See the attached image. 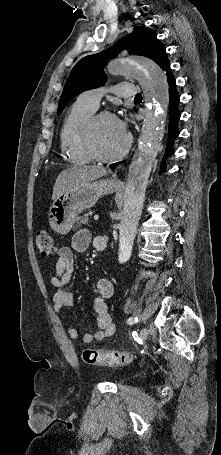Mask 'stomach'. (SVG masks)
Instances as JSON below:
<instances>
[{
	"label": "stomach",
	"instance_id": "obj_1",
	"mask_svg": "<svg viewBox=\"0 0 221 455\" xmlns=\"http://www.w3.org/2000/svg\"><path fill=\"white\" fill-rule=\"evenodd\" d=\"M116 187L113 179H100L80 183L66 190L50 207V227L58 234H68L79 213L95 205L101 196L113 193Z\"/></svg>",
	"mask_w": 221,
	"mask_h": 455
}]
</instances>
